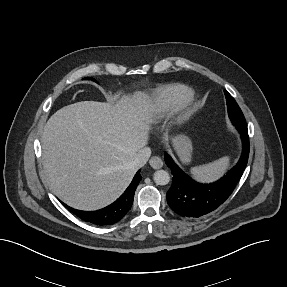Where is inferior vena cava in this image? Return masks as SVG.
Returning a JSON list of instances; mask_svg holds the SVG:
<instances>
[{"instance_id":"1","label":"inferior vena cava","mask_w":287,"mask_h":287,"mask_svg":"<svg viewBox=\"0 0 287 287\" xmlns=\"http://www.w3.org/2000/svg\"><path fill=\"white\" fill-rule=\"evenodd\" d=\"M150 155H151V149L149 147L141 149L131 162V167L136 170L140 169L146 164Z\"/></svg>"}]
</instances>
